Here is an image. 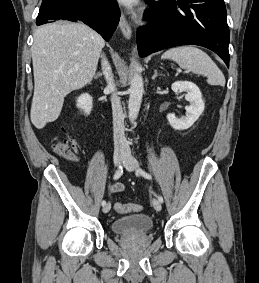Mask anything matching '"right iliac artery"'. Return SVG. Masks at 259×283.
Wrapping results in <instances>:
<instances>
[{
  "mask_svg": "<svg viewBox=\"0 0 259 283\" xmlns=\"http://www.w3.org/2000/svg\"><path fill=\"white\" fill-rule=\"evenodd\" d=\"M123 174V167L122 166H119L118 170L116 171L115 175H114V180H117L121 177V175ZM102 206H105L106 205V201L103 200L102 201Z\"/></svg>",
  "mask_w": 259,
  "mask_h": 283,
  "instance_id": "1",
  "label": "right iliac artery"
}]
</instances>
